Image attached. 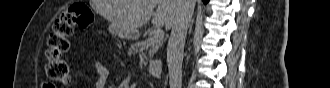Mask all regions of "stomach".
<instances>
[{
  "label": "stomach",
  "mask_w": 330,
  "mask_h": 88,
  "mask_svg": "<svg viewBox=\"0 0 330 88\" xmlns=\"http://www.w3.org/2000/svg\"><path fill=\"white\" fill-rule=\"evenodd\" d=\"M120 37H123V38H130L132 39L134 36L131 34V32H127V31H124V32H120L119 33Z\"/></svg>",
  "instance_id": "obj_1"
}]
</instances>
